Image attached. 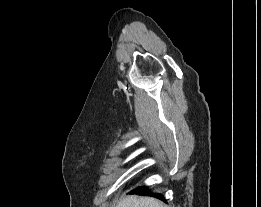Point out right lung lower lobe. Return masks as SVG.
Here are the masks:
<instances>
[{
  "instance_id": "98d812e1",
  "label": "right lung lower lobe",
  "mask_w": 261,
  "mask_h": 207,
  "mask_svg": "<svg viewBox=\"0 0 261 207\" xmlns=\"http://www.w3.org/2000/svg\"><path fill=\"white\" fill-rule=\"evenodd\" d=\"M133 193H136L139 195H152V196H155V197L165 201V199L163 198V196L161 194H152L146 186H140V187L136 188L135 190H133Z\"/></svg>"
}]
</instances>
